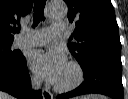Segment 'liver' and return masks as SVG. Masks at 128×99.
<instances>
[{
	"label": "liver",
	"mask_w": 128,
	"mask_h": 99,
	"mask_svg": "<svg viewBox=\"0 0 128 99\" xmlns=\"http://www.w3.org/2000/svg\"><path fill=\"white\" fill-rule=\"evenodd\" d=\"M0 99H14V98L8 95L7 93L0 91ZM83 99H105V98L99 95H92V96L83 97Z\"/></svg>",
	"instance_id": "6515ba94"
}]
</instances>
